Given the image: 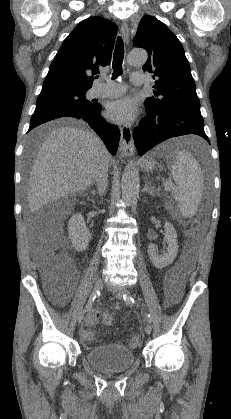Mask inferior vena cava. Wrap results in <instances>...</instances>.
<instances>
[{
    "label": "inferior vena cava",
    "instance_id": "602c4592",
    "mask_svg": "<svg viewBox=\"0 0 231 419\" xmlns=\"http://www.w3.org/2000/svg\"><path fill=\"white\" fill-rule=\"evenodd\" d=\"M96 182H97V190L100 195H103L106 191L107 184H108V164L104 163L102 164L98 171L96 176Z\"/></svg>",
    "mask_w": 231,
    "mask_h": 419
}]
</instances>
